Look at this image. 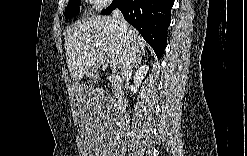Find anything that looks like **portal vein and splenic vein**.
Returning a JSON list of instances; mask_svg holds the SVG:
<instances>
[{"label":"portal vein and splenic vein","instance_id":"18ae733b","mask_svg":"<svg viewBox=\"0 0 247 156\" xmlns=\"http://www.w3.org/2000/svg\"><path fill=\"white\" fill-rule=\"evenodd\" d=\"M109 65L111 68H116L117 67V63L115 61H110Z\"/></svg>","mask_w":247,"mask_h":156}]
</instances>
